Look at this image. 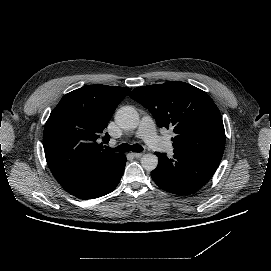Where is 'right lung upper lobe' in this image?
Listing matches in <instances>:
<instances>
[{
	"mask_svg": "<svg viewBox=\"0 0 271 271\" xmlns=\"http://www.w3.org/2000/svg\"><path fill=\"white\" fill-rule=\"evenodd\" d=\"M130 88L87 85L60 100L44 127L43 147L47 164L63 188L73 185L121 154L97 143L115 108ZM105 138L109 139L108 133Z\"/></svg>",
	"mask_w": 271,
	"mask_h": 271,
	"instance_id": "right-lung-upper-lobe-1",
	"label": "right lung upper lobe"
}]
</instances>
